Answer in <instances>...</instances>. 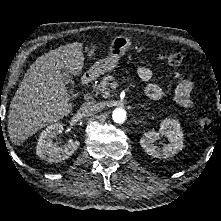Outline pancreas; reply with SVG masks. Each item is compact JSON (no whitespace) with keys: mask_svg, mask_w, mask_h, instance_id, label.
Returning <instances> with one entry per match:
<instances>
[{"mask_svg":"<svg viewBox=\"0 0 221 221\" xmlns=\"http://www.w3.org/2000/svg\"><path fill=\"white\" fill-rule=\"evenodd\" d=\"M114 80V77L112 75L104 76L103 79L100 81V83L96 87L97 93H101L104 98H107L110 96V89L108 86L110 85V82Z\"/></svg>","mask_w":221,"mask_h":221,"instance_id":"cf45deb5","label":"pancreas"}]
</instances>
